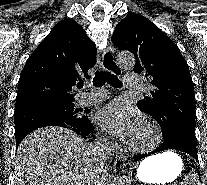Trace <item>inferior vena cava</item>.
<instances>
[{"label": "inferior vena cava", "instance_id": "602c4592", "mask_svg": "<svg viewBox=\"0 0 207 185\" xmlns=\"http://www.w3.org/2000/svg\"><path fill=\"white\" fill-rule=\"evenodd\" d=\"M91 149H96L95 145H94V147H91ZM95 185H96V183H95Z\"/></svg>", "mask_w": 207, "mask_h": 185}]
</instances>
